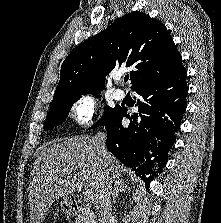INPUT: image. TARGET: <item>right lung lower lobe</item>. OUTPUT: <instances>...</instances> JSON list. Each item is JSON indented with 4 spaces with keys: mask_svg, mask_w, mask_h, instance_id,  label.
I'll return each mask as SVG.
<instances>
[{
    "mask_svg": "<svg viewBox=\"0 0 221 223\" xmlns=\"http://www.w3.org/2000/svg\"><path fill=\"white\" fill-rule=\"evenodd\" d=\"M186 77L183 66L170 76L136 85L132 90L141 97L136 104L138 112L130 114L127 108H119L104 124L107 149L137 175L152 173L146 183L166 166L168 151L175 143L174 132L186 109ZM123 118L130 120L128 126L121 124ZM155 138L161 140L158 147L153 143Z\"/></svg>",
    "mask_w": 221,
    "mask_h": 223,
    "instance_id": "1",
    "label": "right lung lower lobe"
}]
</instances>
